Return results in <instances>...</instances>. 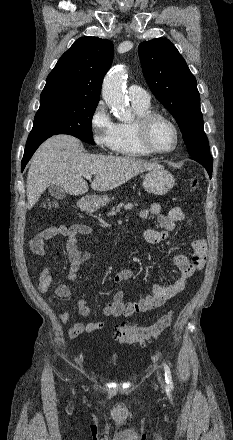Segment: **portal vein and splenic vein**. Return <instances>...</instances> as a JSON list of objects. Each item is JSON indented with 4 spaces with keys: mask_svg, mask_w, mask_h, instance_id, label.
<instances>
[{
    "mask_svg": "<svg viewBox=\"0 0 233 440\" xmlns=\"http://www.w3.org/2000/svg\"><path fill=\"white\" fill-rule=\"evenodd\" d=\"M91 177H92V175H91V174H85V175H84V178H86V179H88V180H90V179H91Z\"/></svg>",
    "mask_w": 233,
    "mask_h": 440,
    "instance_id": "portal-vein-and-splenic-vein-1",
    "label": "portal vein and splenic vein"
}]
</instances>
